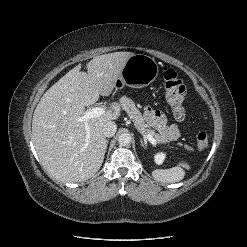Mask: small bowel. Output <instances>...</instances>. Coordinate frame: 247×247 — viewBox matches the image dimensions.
Returning <instances> with one entry per match:
<instances>
[{
	"label": "small bowel",
	"mask_w": 247,
	"mask_h": 247,
	"mask_svg": "<svg viewBox=\"0 0 247 247\" xmlns=\"http://www.w3.org/2000/svg\"><path fill=\"white\" fill-rule=\"evenodd\" d=\"M144 116L146 121L165 138L175 139L179 135L178 127L174 124H169L164 113L147 107L144 111Z\"/></svg>",
	"instance_id": "obj_1"
}]
</instances>
